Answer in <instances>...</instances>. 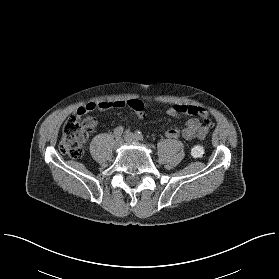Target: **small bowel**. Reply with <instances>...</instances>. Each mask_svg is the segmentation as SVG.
<instances>
[{"label": "small bowel", "mask_w": 279, "mask_h": 279, "mask_svg": "<svg viewBox=\"0 0 279 279\" xmlns=\"http://www.w3.org/2000/svg\"><path fill=\"white\" fill-rule=\"evenodd\" d=\"M124 105L125 103L122 101L101 102L98 104L87 103L76 110L75 116L80 117L94 110L95 108H98L100 110H107L110 108H122L124 107ZM166 113L173 118H177L180 116L181 113H184V114L196 116L201 119L200 120L196 117L190 118L186 122V126L182 130V132H180L176 128H169L165 134L170 139H177L180 136H182L186 140H192L194 138L205 139L209 129L213 125L209 113L202 107L189 106V105H183V106L175 105V106L168 107L166 109Z\"/></svg>", "instance_id": "small-bowel-1"}]
</instances>
